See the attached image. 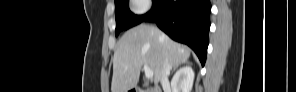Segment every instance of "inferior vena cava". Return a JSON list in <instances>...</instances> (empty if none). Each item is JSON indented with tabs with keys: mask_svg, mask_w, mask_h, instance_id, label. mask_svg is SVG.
Listing matches in <instances>:
<instances>
[{
	"mask_svg": "<svg viewBox=\"0 0 296 92\" xmlns=\"http://www.w3.org/2000/svg\"><path fill=\"white\" fill-rule=\"evenodd\" d=\"M170 69H171L170 63H169L168 59H166L163 64V74H162V77L160 80L162 85L168 84V82H169L168 76L170 74Z\"/></svg>",
	"mask_w": 296,
	"mask_h": 92,
	"instance_id": "1",
	"label": "inferior vena cava"
}]
</instances>
